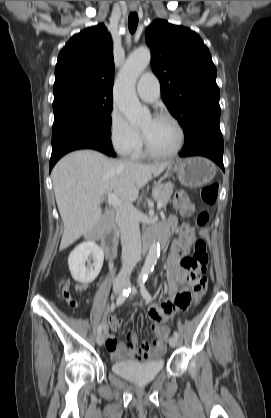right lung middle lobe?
Masks as SVG:
<instances>
[{"label": "right lung middle lobe", "mask_w": 271, "mask_h": 418, "mask_svg": "<svg viewBox=\"0 0 271 418\" xmlns=\"http://www.w3.org/2000/svg\"><path fill=\"white\" fill-rule=\"evenodd\" d=\"M112 108L113 98L104 96H73L54 101L52 139L89 128L111 132Z\"/></svg>", "instance_id": "right-lung-middle-lobe-1"}]
</instances>
